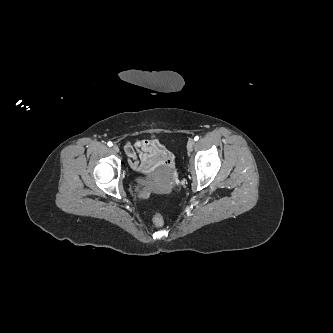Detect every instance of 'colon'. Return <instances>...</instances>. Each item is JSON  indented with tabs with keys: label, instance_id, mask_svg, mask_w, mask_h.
<instances>
[{
	"label": "colon",
	"instance_id": "5ec220e1",
	"mask_svg": "<svg viewBox=\"0 0 333 333\" xmlns=\"http://www.w3.org/2000/svg\"><path fill=\"white\" fill-rule=\"evenodd\" d=\"M153 224L157 228H161L164 225V219L161 214H155L153 217Z\"/></svg>",
	"mask_w": 333,
	"mask_h": 333
}]
</instances>
